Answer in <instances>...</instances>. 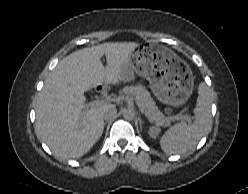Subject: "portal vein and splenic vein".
<instances>
[{"label":"portal vein and splenic vein","mask_w":248,"mask_h":194,"mask_svg":"<svg viewBox=\"0 0 248 194\" xmlns=\"http://www.w3.org/2000/svg\"><path fill=\"white\" fill-rule=\"evenodd\" d=\"M107 101V98L105 99H99V100H96V101H93L90 103V106L94 107V106H99L101 104H104L105 102ZM138 107H139V110L141 111V113H143V107L136 101ZM144 114V113H143ZM180 119H184V120H187L188 122H191V117L190 116H180Z\"/></svg>","instance_id":"portal-vein-and-splenic-vein-1"}]
</instances>
